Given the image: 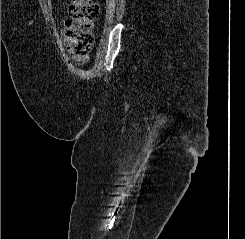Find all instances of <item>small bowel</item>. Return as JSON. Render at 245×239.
I'll return each mask as SVG.
<instances>
[{
	"instance_id": "obj_1",
	"label": "small bowel",
	"mask_w": 245,
	"mask_h": 239,
	"mask_svg": "<svg viewBox=\"0 0 245 239\" xmlns=\"http://www.w3.org/2000/svg\"><path fill=\"white\" fill-rule=\"evenodd\" d=\"M64 30H65V27L62 31V35H64ZM72 59L73 61L78 64V65H83V64H86L88 61H89V57L88 56H85V57H78V56H75L72 54Z\"/></svg>"
}]
</instances>
